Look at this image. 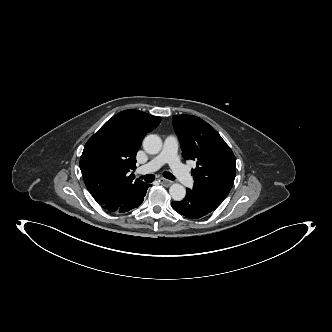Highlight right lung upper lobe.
<instances>
[{"label":"right lung upper lobe","instance_id":"cb5924a9","mask_svg":"<svg viewBox=\"0 0 332 332\" xmlns=\"http://www.w3.org/2000/svg\"><path fill=\"white\" fill-rule=\"evenodd\" d=\"M161 117L128 109L109 119L85 144L80 169L87 189L98 204L119 201L144 184L133 181L136 154L146 133Z\"/></svg>","mask_w":332,"mask_h":332}]
</instances>
